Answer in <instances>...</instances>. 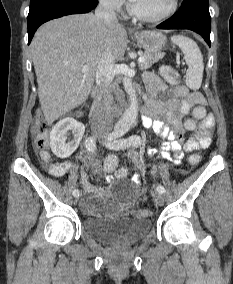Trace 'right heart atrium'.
<instances>
[{"instance_id":"d8ad5b80","label":"right heart atrium","mask_w":233,"mask_h":284,"mask_svg":"<svg viewBox=\"0 0 233 284\" xmlns=\"http://www.w3.org/2000/svg\"><path fill=\"white\" fill-rule=\"evenodd\" d=\"M101 4L110 10H119L123 7L125 0H99Z\"/></svg>"}]
</instances>
